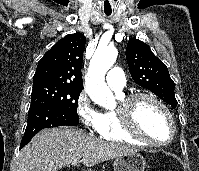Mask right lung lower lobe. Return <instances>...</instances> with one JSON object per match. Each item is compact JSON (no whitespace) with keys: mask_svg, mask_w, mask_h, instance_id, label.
<instances>
[{"mask_svg":"<svg viewBox=\"0 0 199 171\" xmlns=\"http://www.w3.org/2000/svg\"><path fill=\"white\" fill-rule=\"evenodd\" d=\"M78 124L79 118L74 117L56 106L44 104L30 107L27 127L20 143V149L29 143L37 132L44 128L64 125L76 126Z\"/></svg>","mask_w":199,"mask_h":171,"instance_id":"right-lung-lower-lobe-1","label":"right lung lower lobe"}]
</instances>
